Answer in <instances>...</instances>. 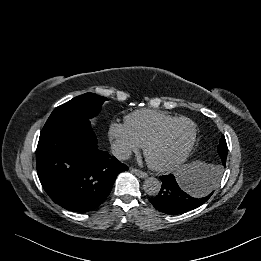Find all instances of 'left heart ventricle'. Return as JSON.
Segmentation results:
<instances>
[{
  "label": "left heart ventricle",
  "mask_w": 261,
  "mask_h": 261,
  "mask_svg": "<svg viewBox=\"0 0 261 261\" xmlns=\"http://www.w3.org/2000/svg\"><path fill=\"white\" fill-rule=\"evenodd\" d=\"M192 133L193 127L186 121L173 125L150 148L149 158L156 164H168L175 161L188 146Z\"/></svg>",
  "instance_id": "b2bd125f"
}]
</instances>
